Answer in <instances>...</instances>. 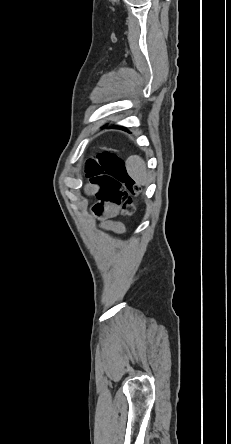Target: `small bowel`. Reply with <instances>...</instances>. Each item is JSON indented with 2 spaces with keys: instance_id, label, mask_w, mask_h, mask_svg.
Wrapping results in <instances>:
<instances>
[{
  "instance_id": "c3829d8e",
  "label": "small bowel",
  "mask_w": 231,
  "mask_h": 444,
  "mask_svg": "<svg viewBox=\"0 0 231 444\" xmlns=\"http://www.w3.org/2000/svg\"><path fill=\"white\" fill-rule=\"evenodd\" d=\"M102 209H103V213H104L105 218H113L120 211L119 206H117L115 204H111V203H104ZM110 226L118 232L122 231V225L120 223L114 222V223H111Z\"/></svg>"
}]
</instances>
